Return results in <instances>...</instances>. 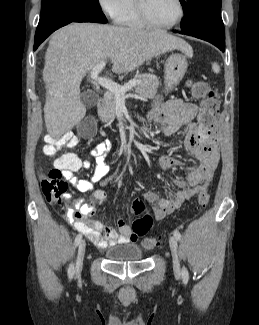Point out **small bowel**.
Listing matches in <instances>:
<instances>
[{"label": "small bowel", "instance_id": "small-bowel-1", "mask_svg": "<svg viewBox=\"0 0 259 325\" xmlns=\"http://www.w3.org/2000/svg\"><path fill=\"white\" fill-rule=\"evenodd\" d=\"M206 114L205 108L180 98L168 100L151 109L148 119L159 125L162 134L172 136L180 129L185 131L184 145L200 164L189 172L185 179L176 178L173 184L179 191L166 198L153 191L143 193V198L153 205L156 219L160 220L192 198L202 190L204 184H209L219 162L217 132L209 131L201 124V118ZM198 118V123L196 122ZM110 151V144L106 141L98 143L91 155L95 159V169L89 180L79 179L75 173L81 168H91L89 161H83L73 153H67L55 160L54 166L62 170L64 178L79 192H91V203L85 204L80 197L72 198L65 194L64 198L70 202L74 211L68 213V218L74 228L82 232L98 249H105L116 244L134 243L138 239L133 230L124 220L117 221V230L103 223L88 218L93 211V203L102 204L107 199L104 189L94 190V185L105 179L110 166L106 154ZM181 162L172 156L161 154L157 159V166L167 171L180 166Z\"/></svg>", "mask_w": 259, "mask_h": 325}]
</instances>
